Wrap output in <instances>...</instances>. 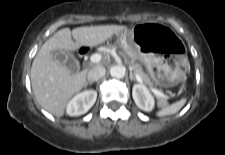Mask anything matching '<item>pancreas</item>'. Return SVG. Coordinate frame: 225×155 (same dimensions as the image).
I'll return each mask as SVG.
<instances>
[{"label": "pancreas", "mask_w": 225, "mask_h": 155, "mask_svg": "<svg viewBox=\"0 0 225 155\" xmlns=\"http://www.w3.org/2000/svg\"><path fill=\"white\" fill-rule=\"evenodd\" d=\"M133 71H134V74H138L140 75V77L142 78V80L144 81L145 84L149 85V86H153V83L151 82L150 78L147 76V74H145L143 72V69H142V66L138 63H135L133 64ZM158 100H159V103L163 106L167 105V96L164 95L162 93L161 96H158Z\"/></svg>", "instance_id": "obj_1"}]
</instances>
